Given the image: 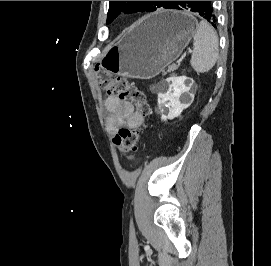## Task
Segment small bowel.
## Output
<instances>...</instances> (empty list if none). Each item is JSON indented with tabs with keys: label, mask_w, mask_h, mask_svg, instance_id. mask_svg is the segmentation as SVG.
Instances as JSON below:
<instances>
[{
	"label": "small bowel",
	"mask_w": 271,
	"mask_h": 266,
	"mask_svg": "<svg viewBox=\"0 0 271 266\" xmlns=\"http://www.w3.org/2000/svg\"><path fill=\"white\" fill-rule=\"evenodd\" d=\"M105 108L109 112L108 128L111 132L120 126L139 128L143 124V116L128 102L116 96H108L105 99Z\"/></svg>",
	"instance_id": "c3829d8e"
}]
</instances>
